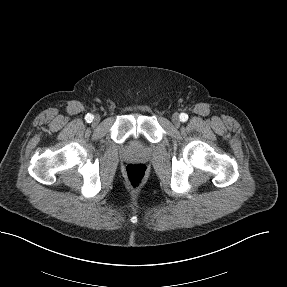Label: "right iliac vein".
<instances>
[{"label": "right iliac vein", "mask_w": 287, "mask_h": 287, "mask_svg": "<svg viewBox=\"0 0 287 287\" xmlns=\"http://www.w3.org/2000/svg\"><path fill=\"white\" fill-rule=\"evenodd\" d=\"M100 122V117L98 115H96L93 119V124L97 125Z\"/></svg>", "instance_id": "obj_1"}]
</instances>
